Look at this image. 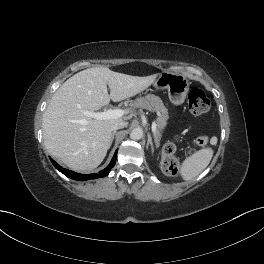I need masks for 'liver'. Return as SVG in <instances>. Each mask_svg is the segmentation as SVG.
Instances as JSON below:
<instances>
[{"label":"liver","mask_w":264,"mask_h":264,"mask_svg":"<svg viewBox=\"0 0 264 264\" xmlns=\"http://www.w3.org/2000/svg\"><path fill=\"white\" fill-rule=\"evenodd\" d=\"M158 75L138 77L95 67L70 77L55 92L43 114L47 151L74 170L98 167L111 146L112 126L129 117L99 120L83 112L98 111L110 100L133 97L152 85Z\"/></svg>","instance_id":"6515ba94"}]
</instances>
